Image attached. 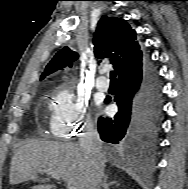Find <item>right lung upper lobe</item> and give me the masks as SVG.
Instances as JSON below:
<instances>
[{
    "label": "right lung upper lobe",
    "mask_w": 188,
    "mask_h": 189,
    "mask_svg": "<svg viewBox=\"0 0 188 189\" xmlns=\"http://www.w3.org/2000/svg\"><path fill=\"white\" fill-rule=\"evenodd\" d=\"M93 45L97 58H111L118 80L139 72L143 67L146 57L140 49L136 32L123 19L102 16L94 33ZM77 58L76 52L64 47L48 63L41 80L67 65L71 67Z\"/></svg>",
    "instance_id": "right-lung-upper-lobe-1"
}]
</instances>
